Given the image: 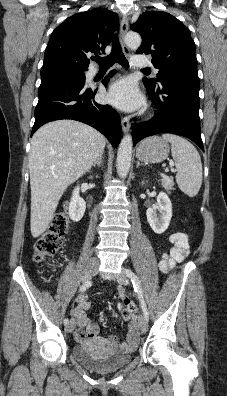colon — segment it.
<instances>
[{
	"mask_svg": "<svg viewBox=\"0 0 227 396\" xmlns=\"http://www.w3.org/2000/svg\"><path fill=\"white\" fill-rule=\"evenodd\" d=\"M67 230L68 219L66 212L57 213L53 217L48 230L35 242L34 260L41 263L51 258L61 247ZM124 303L126 305H131L132 301L126 297Z\"/></svg>",
	"mask_w": 227,
	"mask_h": 396,
	"instance_id": "1",
	"label": "colon"
}]
</instances>
